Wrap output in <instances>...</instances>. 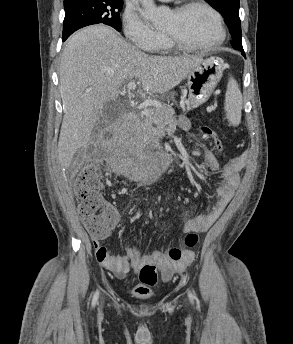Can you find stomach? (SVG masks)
<instances>
[{
	"label": "stomach",
	"mask_w": 293,
	"mask_h": 344,
	"mask_svg": "<svg viewBox=\"0 0 293 344\" xmlns=\"http://www.w3.org/2000/svg\"><path fill=\"white\" fill-rule=\"evenodd\" d=\"M223 73V62L217 57L204 59L185 78L189 89V106L196 108L213 93Z\"/></svg>",
	"instance_id": "stomach-1"
}]
</instances>
